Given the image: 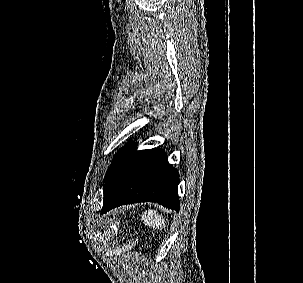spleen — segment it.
<instances>
[{
  "label": "spleen",
  "instance_id": "spleen-1",
  "mask_svg": "<svg viewBox=\"0 0 303 283\" xmlns=\"http://www.w3.org/2000/svg\"><path fill=\"white\" fill-rule=\"evenodd\" d=\"M143 222L150 227L161 229L166 227V221L156 210H148L142 215Z\"/></svg>",
  "mask_w": 303,
  "mask_h": 283
}]
</instances>
